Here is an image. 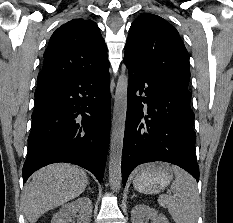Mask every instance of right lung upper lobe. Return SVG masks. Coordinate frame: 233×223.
<instances>
[{"label": "right lung upper lobe", "instance_id": "right-lung-upper-lobe-1", "mask_svg": "<svg viewBox=\"0 0 233 223\" xmlns=\"http://www.w3.org/2000/svg\"><path fill=\"white\" fill-rule=\"evenodd\" d=\"M109 66L107 48L97 24L73 19L51 36L44 53L38 85L99 72Z\"/></svg>", "mask_w": 233, "mask_h": 223}]
</instances>
